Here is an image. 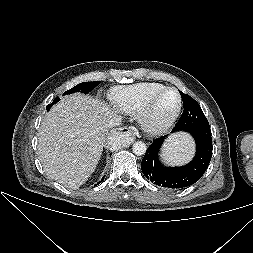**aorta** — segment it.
Wrapping results in <instances>:
<instances>
[{
    "label": "aorta",
    "mask_w": 253,
    "mask_h": 253,
    "mask_svg": "<svg viewBox=\"0 0 253 253\" xmlns=\"http://www.w3.org/2000/svg\"><path fill=\"white\" fill-rule=\"evenodd\" d=\"M132 150L133 153L137 156H141L144 155L146 153L147 150V146L145 143L141 142V141H137L133 144L132 146Z\"/></svg>",
    "instance_id": "obj_1"
}]
</instances>
